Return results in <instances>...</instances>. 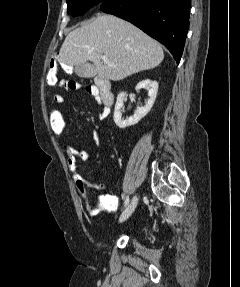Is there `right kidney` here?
Masks as SVG:
<instances>
[{"label": "right kidney", "instance_id": "1", "mask_svg": "<svg viewBox=\"0 0 240 287\" xmlns=\"http://www.w3.org/2000/svg\"><path fill=\"white\" fill-rule=\"evenodd\" d=\"M142 88L148 89L149 99L145 103L144 106L138 107L136 109V111L134 112V114L127 119H123L122 113H121V109L124 106V98L126 96V92H121L118 94L116 104H115V110H114L113 118H114L115 124L119 128L123 129V128H126L128 126H132V125L137 124L143 117H145L150 112V110H151V108L155 102L156 96H157L158 83H157V81L145 79V80L139 82L136 86L137 90H140Z\"/></svg>", "mask_w": 240, "mask_h": 287}]
</instances>
